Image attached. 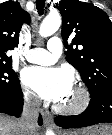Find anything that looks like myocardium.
Listing matches in <instances>:
<instances>
[{
  "label": "myocardium",
  "instance_id": "myocardium-1",
  "mask_svg": "<svg viewBox=\"0 0 112 135\" xmlns=\"http://www.w3.org/2000/svg\"><path fill=\"white\" fill-rule=\"evenodd\" d=\"M75 92L79 95V102L73 106L56 105V109L66 115H79L87 110L90 105L91 97L89 91L80 85L74 87Z\"/></svg>",
  "mask_w": 112,
  "mask_h": 135
}]
</instances>
